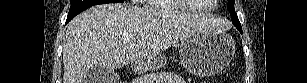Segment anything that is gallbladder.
I'll use <instances>...</instances> for the list:
<instances>
[{
  "instance_id": "gallbladder-1",
  "label": "gallbladder",
  "mask_w": 307,
  "mask_h": 83,
  "mask_svg": "<svg viewBox=\"0 0 307 83\" xmlns=\"http://www.w3.org/2000/svg\"><path fill=\"white\" fill-rule=\"evenodd\" d=\"M118 79V74L113 70L94 68L85 73L83 83H117Z\"/></svg>"
}]
</instances>
